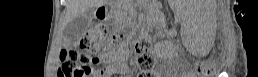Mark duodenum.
Segmentation results:
<instances>
[{
	"mask_svg": "<svg viewBox=\"0 0 258 77\" xmlns=\"http://www.w3.org/2000/svg\"><path fill=\"white\" fill-rule=\"evenodd\" d=\"M100 14H104V8L100 9Z\"/></svg>",
	"mask_w": 258,
	"mask_h": 77,
	"instance_id": "duodenum-1",
	"label": "duodenum"
}]
</instances>
